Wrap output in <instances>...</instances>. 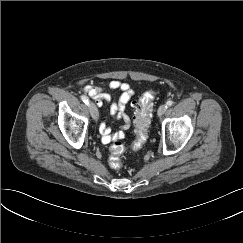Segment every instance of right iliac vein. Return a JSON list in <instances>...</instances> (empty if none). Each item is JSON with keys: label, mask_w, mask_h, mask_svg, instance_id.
Returning a JSON list of instances; mask_svg holds the SVG:
<instances>
[{"label": "right iliac vein", "mask_w": 243, "mask_h": 243, "mask_svg": "<svg viewBox=\"0 0 243 243\" xmlns=\"http://www.w3.org/2000/svg\"><path fill=\"white\" fill-rule=\"evenodd\" d=\"M89 111H90V114L92 116V118L97 121L98 118H99V113H98V109L97 107L95 106L94 103L90 102L89 103Z\"/></svg>", "instance_id": "1"}]
</instances>
